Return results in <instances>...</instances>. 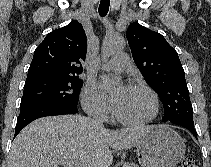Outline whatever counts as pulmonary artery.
Instances as JSON below:
<instances>
[{
  "label": "pulmonary artery",
  "mask_w": 211,
  "mask_h": 167,
  "mask_svg": "<svg viewBox=\"0 0 211 167\" xmlns=\"http://www.w3.org/2000/svg\"><path fill=\"white\" fill-rule=\"evenodd\" d=\"M131 66L132 64L129 56L125 53H120L105 63L102 68L105 70L125 71L129 70Z\"/></svg>",
  "instance_id": "1"
}]
</instances>
